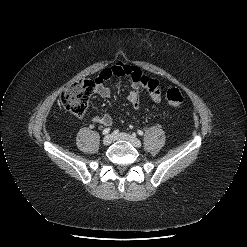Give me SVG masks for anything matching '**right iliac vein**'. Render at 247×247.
I'll return each instance as SVG.
<instances>
[{"label":"right iliac vein","mask_w":247,"mask_h":247,"mask_svg":"<svg viewBox=\"0 0 247 247\" xmlns=\"http://www.w3.org/2000/svg\"><path fill=\"white\" fill-rule=\"evenodd\" d=\"M113 137L111 135H107L103 138V144L104 145H110L112 143Z\"/></svg>","instance_id":"1"}]
</instances>
